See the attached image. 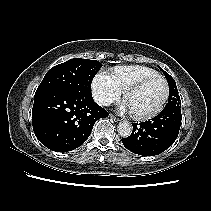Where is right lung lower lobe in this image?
Instances as JSON below:
<instances>
[{
	"instance_id": "right-lung-lower-lobe-1",
	"label": "right lung lower lobe",
	"mask_w": 211,
	"mask_h": 211,
	"mask_svg": "<svg viewBox=\"0 0 211 211\" xmlns=\"http://www.w3.org/2000/svg\"><path fill=\"white\" fill-rule=\"evenodd\" d=\"M108 112L97 105L92 93L52 90L35 95L33 130L38 140L56 152L72 151L90 136L95 122Z\"/></svg>"
}]
</instances>
